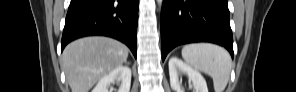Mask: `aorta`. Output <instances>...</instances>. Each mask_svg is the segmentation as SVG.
<instances>
[{
  "label": "aorta",
  "instance_id": "obj_1",
  "mask_svg": "<svg viewBox=\"0 0 296 92\" xmlns=\"http://www.w3.org/2000/svg\"><path fill=\"white\" fill-rule=\"evenodd\" d=\"M157 2H158L159 7L161 8L163 1L162 0H157Z\"/></svg>",
  "mask_w": 296,
  "mask_h": 92
}]
</instances>
